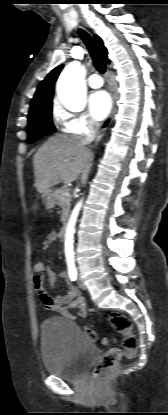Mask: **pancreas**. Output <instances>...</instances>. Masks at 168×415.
<instances>
[{"mask_svg": "<svg viewBox=\"0 0 168 415\" xmlns=\"http://www.w3.org/2000/svg\"><path fill=\"white\" fill-rule=\"evenodd\" d=\"M66 191L67 189L60 188V189H56L53 192L55 203L62 208V212H61L62 223L66 222L68 218V214L70 210V203H71V195L70 194L66 196L63 195Z\"/></svg>", "mask_w": 168, "mask_h": 415, "instance_id": "pancreas-1", "label": "pancreas"}]
</instances>
